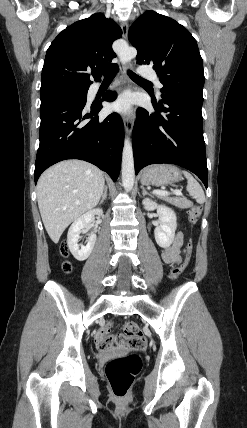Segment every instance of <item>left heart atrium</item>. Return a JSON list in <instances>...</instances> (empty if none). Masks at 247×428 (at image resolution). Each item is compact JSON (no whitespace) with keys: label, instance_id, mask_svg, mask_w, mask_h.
Wrapping results in <instances>:
<instances>
[{"label":"left heart atrium","instance_id":"obj_1","mask_svg":"<svg viewBox=\"0 0 247 428\" xmlns=\"http://www.w3.org/2000/svg\"><path fill=\"white\" fill-rule=\"evenodd\" d=\"M132 105V98L130 95L121 96L114 104L113 108L117 111L127 112Z\"/></svg>","mask_w":247,"mask_h":428}]
</instances>
